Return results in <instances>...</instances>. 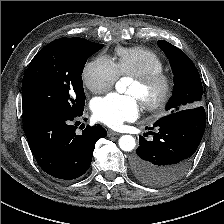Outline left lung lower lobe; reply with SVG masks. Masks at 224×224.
<instances>
[{"mask_svg":"<svg viewBox=\"0 0 224 224\" xmlns=\"http://www.w3.org/2000/svg\"><path fill=\"white\" fill-rule=\"evenodd\" d=\"M203 106L173 112L154 123L153 140L139 136L133 173L144 184L163 186L174 182L189 167L204 134ZM153 129V128H150Z\"/></svg>","mask_w":224,"mask_h":224,"instance_id":"left-lung-lower-lobe-1","label":"left lung lower lobe"}]
</instances>
